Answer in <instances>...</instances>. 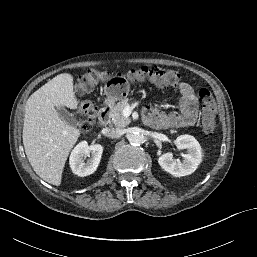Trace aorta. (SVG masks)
Masks as SVG:
<instances>
[{"instance_id": "762f6f07", "label": "aorta", "mask_w": 257, "mask_h": 257, "mask_svg": "<svg viewBox=\"0 0 257 257\" xmlns=\"http://www.w3.org/2000/svg\"><path fill=\"white\" fill-rule=\"evenodd\" d=\"M131 145L139 146L143 143V136L139 133H133L128 138Z\"/></svg>"}]
</instances>
